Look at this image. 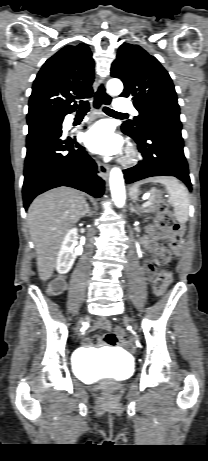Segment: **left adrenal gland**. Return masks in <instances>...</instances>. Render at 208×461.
I'll list each match as a JSON object with an SVG mask.
<instances>
[{"mask_svg":"<svg viewBox=\"0 0 208 461\" xmlns=\"http://www.w3.org/2000/svg\"><path fill=\"white\" fill-rule=\"evenodd\" d=\"M130 212H135L136 214L139 215V212L137 210L134 209L133 205L130 204Z\"/></svg>","mask_w":208,"mask_h":461,"instance_id":"obj_1","label":"left adrenal gland"}]
</instances>
